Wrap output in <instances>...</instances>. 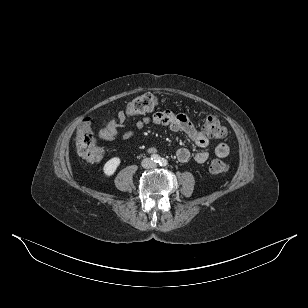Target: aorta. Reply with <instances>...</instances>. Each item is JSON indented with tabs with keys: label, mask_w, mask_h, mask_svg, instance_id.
<instances>
[{
	"label": "aorta",
	"mask_w": 308,
	"mask_h": 308,
	"mask_svg": "<svg viewBox=\"0 0 308 308\" xmlns=\"http://www.w3.org/2000/svg\"><path fill=\"white\" fill-rule=\"evenodd\" d=\"M160 164H161V165H166V164H167V161L163 159V160L160 161Z\"/></svg>",
	"instance_id": "obj_1"
}]
</instances>
